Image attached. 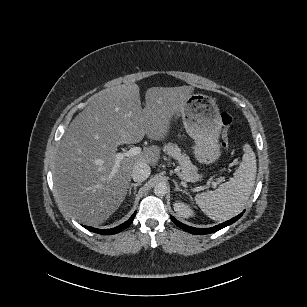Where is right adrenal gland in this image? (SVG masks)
<instances>
[{
	"label": "right adrenal gland",
	"mask_w": 307,
	"mask_h": 307,
	"mask_svg": "<svg viewBox=\"0 0 307 307\" xmlns=\"http://www.w3.org/2000/svg\"><path fill=\"white\" fill-rule=\"evenodd\" d=\"M140 185H141L140 182L139 183H132L131 186L129 187V190H128L129 195H131L132 188L134 189V195H135L136 194L137 186H140Z\"/></svg>",
	"instance_id": "2a0ac1e0"
}]
</instances>
